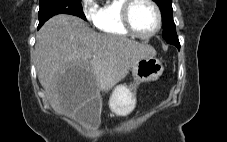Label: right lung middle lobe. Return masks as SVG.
Segmentation results:
<instances>
[{"label":"right lung middle lobe","instance_id":"1","mask_svg":"<svg viewBox=\"0 0 227 142\" xmlns=\"http://www.w3.org/2000/svg\"><path fill=\"white\" fill-rule=\"evenodd\" d=\"M39 25L42 26L49 18L57 14H70L84 20L81 0H40Z\"/></svg>","mask_w":227,"mask_h":142}]
</instances>
